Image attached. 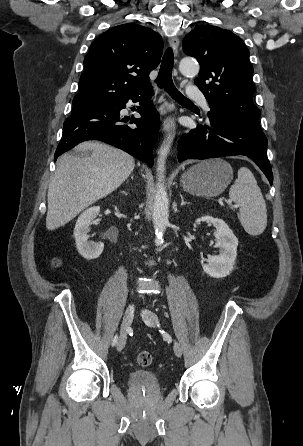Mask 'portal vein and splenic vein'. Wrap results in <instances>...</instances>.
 Wrapping results in <instances>:
<instances>
[{
    "label": "portal vein and splenic vein",
    "instance_id": "18ae733b",
    "mask_svg": "<svg viewBox=\"0 0 303 446\" xmlns=\"http://www.w3.org/2000/svg\"><path fill=\"white\" fill-rule=\"evenodd\" d=\"M232 208L237 209V208H238V205H234V206H232Z\"/></svg>",
    "mask_w": 303,
    "mask_h": 446
}]
</instances>
